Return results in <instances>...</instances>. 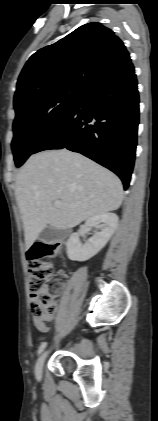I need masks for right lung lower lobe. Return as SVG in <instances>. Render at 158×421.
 Returning <instances> with one entry per match:
<instances>
[{
  "mask_svg": "<svg viewBox=\"0 0 158 421\" xmlns=\"http://www.w3.org/2000/svg\"><path fill=\"white\" fill-rule=\"evenodd\" d=\"M139 95L126 52L98 71L34 153L67 148L116 173L127 189L135 160Z\"/></svg>",
  "mask_w": 158,
  "mask_h": 421,
  "instance_id": "98d812e1",
  "label": "right lung lower lobe"
}]
</instances>
